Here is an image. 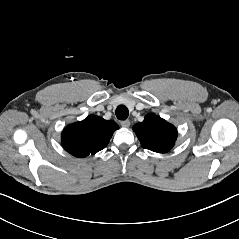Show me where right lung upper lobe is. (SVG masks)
Instances as JSON below:
<instances>
[{
	"mask_svg": "<svg viewBox=\"0 0 239 239\" xmlns=\"http://www.w3.org/2000/svg\"><path fill=\"white\" fill-rule=\"evenodd\" d=\"M118 128L119 126L112 120L89 115L63 130L62 145L67 152L76 157L94 155L107 146Z\"/></svg>",
	"mask_w": 239,
	"mask_h": 239,
	"instance_id": "cb5924a9",
	"label": "right lung upper lobe"
}]
</instances>
